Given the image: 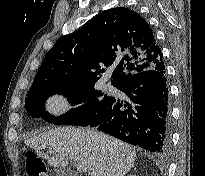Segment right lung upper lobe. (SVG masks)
<instances>
[{"label": "right lung upper lobe", "instance_id": "1", "mask_svg": "<svg viewBox=\"0 0 205 176\" xmlns=\"http://www.w3.org/2000/svg\"><path fill=\"white\" fill-rule=\"evenodd\" d=\"M164 64L148 23L127 8H113L59 38L50 49L29 92L50 85L95 84L113 66L112 84Z\"/></svg>", "mask_w": 205, "mask_h": 176}]
</instances>
